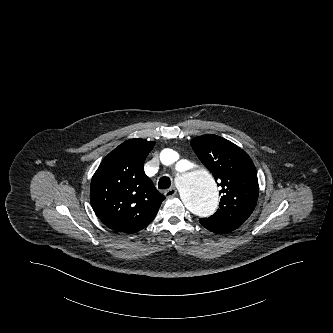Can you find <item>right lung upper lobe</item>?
I'll return each mask as SVG.
<instances>
[{
    "instance_id": "1",
    "label": "right lung upper lobe",
    "mask_w": 333,
    "mask_h": 333,
    "mask_svg": "<svg viewBox=\"0 0 333 333\" xmlns=\"http://www.w3.org/2000/svg\"><path fill=\"white\" fill-rule=\"evenodd\" d=\"M154 145L144 139L123 142L103 159L92 177V208L114 231L130 234L142 230L155 218L165 199L143 170Z\"/></svg>"
}]
</instances>
